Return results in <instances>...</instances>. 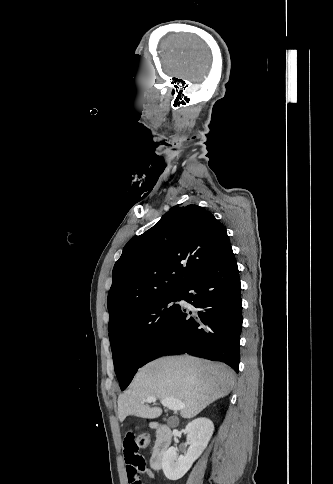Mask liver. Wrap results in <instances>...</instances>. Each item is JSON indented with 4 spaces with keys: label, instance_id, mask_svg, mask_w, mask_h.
<instances>
[{
    "label": "liver",
    "instance_id": "liver-1",
    "mask_svg": "<svg viewBox=\"0 0 333 484\" xmlns=\"http://www.w3.org/2000/svg\"><path fill=\"white\" fill-rule=\"evenodd\" d=\"M235 383V374L226 365L192 356L165 357L139 369L128 390L118 397L121 422L129 415L155 419L162 414L159 407L141 401L176 398L186 405L181 417L193 418L210 403L227 396Z\"/></svg>",
    "mask_w": 333,
    "mask_h": 484
}]
</instances>
